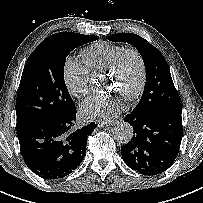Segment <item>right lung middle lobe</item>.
<instances>
[{"label":"right lung middle lobe","instance_id":"dd1d6c3e","mask_svg":"<svg viewBox=\"0 0 203 203\" xmlns=\"http://www.w3.org/2000/svg\"><path fill=\"white\" fill-rule=\"evenodd\" d=\"M97 39L94 35L63 32L42 41L32 52L24 66L17 94V130L75 108L64 81L66 56Z\"/></svg>","mask_w":203,"mask_h":203}]
</instances>
